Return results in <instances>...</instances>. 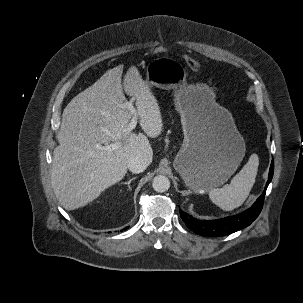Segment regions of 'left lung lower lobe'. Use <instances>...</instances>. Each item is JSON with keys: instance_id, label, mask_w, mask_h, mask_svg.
Listing matches in <instances>:
<instances>
[{"instance_id": "1", "label": "left lung lower lobe", "mask_w": 303, "mask_h": 303, "mask_svg": "<svg viewBox=\"0 0 303 303\" xmlns=\"http://www.w3.org/2000/svg\"><path fill=\"white\" fill-rule=\"evenodd\" d=\"M273 171L274 162L272 160L265 190L263 191L262 195L257 199V201L252 205V207H250L243 213L218 220L200 221L188 215L187 213L180 211V216L182 220L184 221L186 226L196 234L208 237L229 235L249 226L258 217L262 210L266 189L270 181L272 180Z\"/></svg>"}]
</instances>
